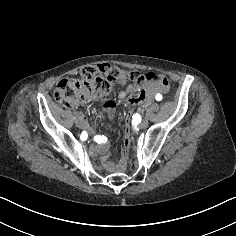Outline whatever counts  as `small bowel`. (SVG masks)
Segmentation results:
<instances>
[{
    "mask_svg": "<svg viewBox=\"0 0 236 236\" xmlns=\"http://www.w3.org/2000/svg\"><path fill=\"white\" fill-rule=\"evenodd\" d=\"M120 83L125 84L126 79L121 78ZM167 88H168L167 86H157V85L144 87L142 83H132L127 85L119 93V99L126 104H131V105L141 104L143 109L150 104L152 95L156 91H166ZM115 108H116V103L111 99L105 98L103 114L111 119L114 115ZM75 122L80 128L88 129L93 133L83 112L77 111L75 113ZM94 137H95L94 138L95 149L98 153L101 154L100 161L103 167L110 173L121 172L125 167V159H121L118 162L114 161L111 158V150H110L111 148L107 138L102 135H95Z\"/></svg>",
    "mask_w": 236,
    "mask_h": 236,
    "instance_id": "obj_1",
    "label": "small bowel"
}]
</instances>
